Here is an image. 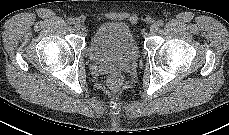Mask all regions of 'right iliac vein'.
I'll list each match as a JSON object with an SVG mask.
<instances>
[{
	"label": "right iliac vein",
	"instance_id": "obj_1",
	"mask_svg": "<svg viewBox=\"0 0 229 135\" xmlns=\"http://www.w3.org/2000/svg\"><path fill=\"white\" fill-rule=\"evenodd\" d=\"M81 26H82L81 23L78 22V21L74 23L75 30H80L81 29Z\"/></svg>",
	"mask_w": 229,
	"mask_h": 135
}]
</instances>
